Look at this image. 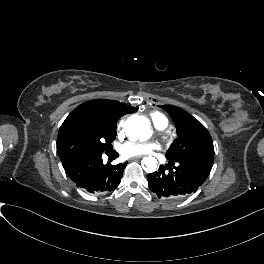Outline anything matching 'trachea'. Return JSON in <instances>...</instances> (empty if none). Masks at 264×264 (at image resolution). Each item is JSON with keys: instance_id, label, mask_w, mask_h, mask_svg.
I'll list each match as a JSON object with an SVG mask.
<instances>
[{"instance_id": "trachea-1", "label": "trachea", "mask_w": 264, "mask_h": 264, "mask_svg": "<svg viewBox=\"0 0 264 264\" xmlns=\"http://www.w3.org/2000/svg\"><path fill=\"white\" fill-rule=\"evenodd\" d=\"M113 155H114L115 157H117V156H118V154H117L116 152H113Z\"/></svg>"}]
</instances>
